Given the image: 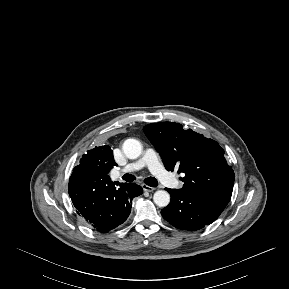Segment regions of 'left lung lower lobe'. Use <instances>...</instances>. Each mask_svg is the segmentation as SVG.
<instances>
[{
  "label": "left lung lower lobe",
  "mask_w": 289,
  "mask_h": 289,
  "mask_svg": "<svg viewBox=\"0 0 289 289\" xmlns=\"http://www.w3.org/2000/svg\"><path fill=\"white\" fill-rule=\"evenodd\" d=\"M171 195L168 206L161 210L163 218L178 229L195 231L214 222L224 210L198 195L179 189H167Z\"/></svg>",
  "instance_id": "1"
}]
</instances>
